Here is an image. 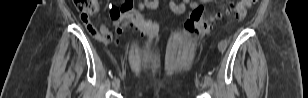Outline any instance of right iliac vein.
Returning <instances> with one entry per match:
<instances>
[{
  "label": "right iliac vein",
  "mask_w": 308,
  "mask_h": 98,
  "mask_svg": "<svg viewBox=\"0 0 308 98\" xmlns=\"http://www.w3.org/2000/svg\"><path fill=\"white\" fill-rule=\"evenodd\" d=\"M113 87H114L116 90H118V89H119V87H120V83H119V81H118V82H116V83L113 85Z\"/></svg>",
  "instance_id": "right-iliac-vein-1"
}]
</instances>
